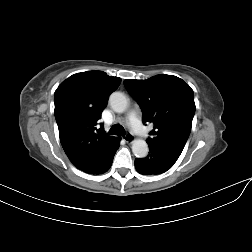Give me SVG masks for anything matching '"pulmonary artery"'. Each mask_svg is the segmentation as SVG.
I'll return each mask as SVG.
<instances>
[{
	"mask_svg": "<svg viewBox=\"0 0 252 252\" xmlns=\"http://www.w3.org/2000/svg\"><path fill=\"white\" fill-rule=\"evenodd\" d=\"M128 121H129L130 126H131L134 133L139 134V135L147 133V130L144 127V125L142 124V122L138 116V113L136 111H132L129 114Z\"/></svg>",
	"mask_w": 252,
	"mask_h": 252,
	"instance_id": "obj_1",
	"label": "pulmonary artery"
}]
</instances>
